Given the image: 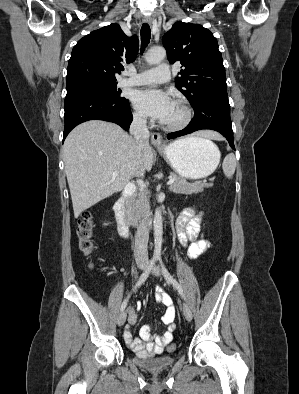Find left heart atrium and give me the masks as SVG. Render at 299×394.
Instances as JSON below:
<instances>
[{"label":"left heart atrium","instance_id":"1","mask_svg":"<svg viewBox=\"0 0 299 394\" xmlns=\"http://www.w3.org/2000/svg\"><path fill=\"white\" fill-rule=\"evenodd\" d=\"M173 104L168 93L155 88L140 90L134 95L135 108L144 115L160 121L167 118Z\"/></svg>","mask_w":299,"mask_h":394}]
</instances>
